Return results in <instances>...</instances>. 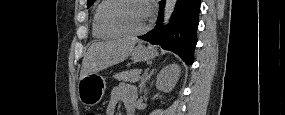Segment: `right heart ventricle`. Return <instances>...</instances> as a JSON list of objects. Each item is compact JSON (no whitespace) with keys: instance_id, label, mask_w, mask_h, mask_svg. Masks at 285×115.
<instances>
[{"instance_id":"right-heart-ventricle-1","label":"right heart ventricle","mask_w":285,"mask_h":115,"mask_svg":"<svg viewBox=\"0 0 285 115\" xmlns=\"http://www.w3.org/2000/svg\"><path fill=\"white\" fill-rule=\"evenodd\" d=\"M108 1L109 0L99 1L93 12L92 34L95 38H98V39H115L121 36L117 32L106 28L101 23V20H100L101 9Z\"/></svg>"}]
</instances>
